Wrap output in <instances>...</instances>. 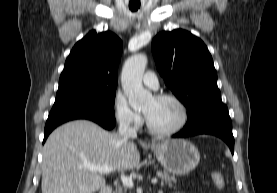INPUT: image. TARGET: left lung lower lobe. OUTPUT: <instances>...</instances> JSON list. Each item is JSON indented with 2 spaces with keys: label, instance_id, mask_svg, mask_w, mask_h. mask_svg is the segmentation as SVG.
<instances>
[{
  "label": "left lung lower lobe",
  "instance_id": "1",
  "mask_svg": "<svg viewBox=\"0 0 277 193\" xmlns=\"http://www.w3.org/2000/svg\"><path fill=\"white\" fill-rule=\"evenodd\" d=\"M198 134H211L223 139L234 153L232 123L226 105H215L201 110L196 116L187 120L186 126L173 135L184 138Z\"/></svg>",
  "mask_w": 277,
  "mask_h": 193
}]
</instances>
